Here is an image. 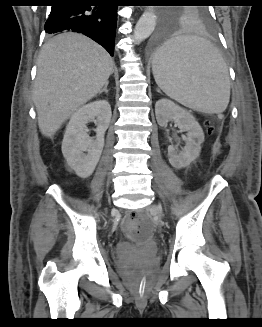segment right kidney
I'll use <instances>...</instances> for the list:
<instances>
[{"label":"right kidney","mask_w":262,"mask_h":327,"mask_svg":"<svg viewBox=\"0 0 262 327\" xmlns=\"http://www.w3.org/2000/svg\"><path fill=\"white\" fill-rule=\"evenodd\" d=\"M111 116V107L106 100L83 105L72 114L62 141V153L78 176L87 178L93 173L104 147V135ZM90 121L97 125L95 140L86 135V124Z\"/></svg>","instance_id":"right-kidney-1"}]
</instances>
